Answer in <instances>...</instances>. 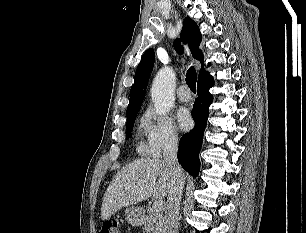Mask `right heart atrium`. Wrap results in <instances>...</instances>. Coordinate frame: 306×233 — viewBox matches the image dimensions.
Returning <instances> with one entry per match:
<instances>
[{"label": "right heart atrium", "mask_w": 306, "mask_h": 233, "mask_svg": "<svg viewBox=\"0 0 306 233\" xmlns=\"http://www.w3.org/2000/svg\"><path fill=\"white\" fill-rule=\"evenodd\" d=\"M146 133V151L151 157H160L175 148L179 143V134L171 116L159 114L149 108L144 115Z\"/></svg>", "instance_id": "d8ad5b80"}]
</instances>
